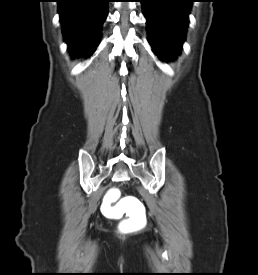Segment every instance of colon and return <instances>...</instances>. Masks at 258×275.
Here are the masks:
<instances>
[{
    "mask_svg": "<svg viewBox=\"0 0 258 275\" xmlns=\"http://www.w3.org/2000/svg\"><path fill=\"white\" fill-rule=\"evenodd\" d=\"M111 200L116 201L120 197V192L118 189H111L108 193Z\"/></svg>",
    "mask_w": 258,
    "mask_h": 275,
    "instance_id": "1",
    "label": "colon"
}]
</instances>
